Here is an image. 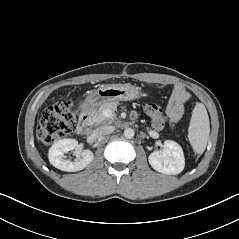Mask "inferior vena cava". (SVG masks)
<instances>
[{
	"label": "inferior vena cava",
	"mask_w": 239,
	"mask_h": 239,
	"mask_svg": "<svg viewBox=\"0 0 239 239\" xmlns=\"http://www.w3.org/2000/svg\"><path fill=\"white\" fill-rule=\"evenodd\" d=\"M114 126H101L96 129L95 131V136L100 137L102 135H107L110 134L114 131Z\"/></svg>",
	"instance_id": "obj_1"
}]
</instances>
